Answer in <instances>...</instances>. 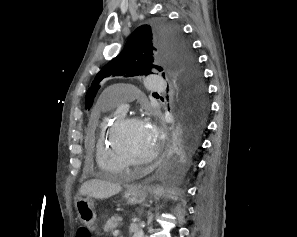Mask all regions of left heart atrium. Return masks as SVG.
<instances>
[{"label": "left heart atrium", "mask_w": 297, "mask_h": 237, "mask_svg": "<svg viewBox=\"0 0 297 237\" xmlns=\"http://www.w3.org/2000/svg\"><path fill=\"white\" fill-rule=\"evenodd\" d=\"M146 126L147 132L150 135V137L157 142L158 136H159V130L156 124L153 122L147 120L143 122Z\"/></svg>", "instance_id": "1"}]
</instances>
